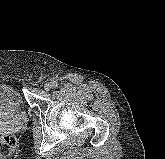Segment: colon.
<instances>
[{"label":"colon","instance_id":"colon-1","mask_svg":"<svg viewBox=\"0 0 165 159\" xmlns=\"http://www.w3.org/2000/svg\"><path fill=\"white\" fill-rule=\"evenodd\" d=\"M17 146V140L12 134H4L0 136V157L5 158L11 156Z\"/></svg>","mask_w":165,"mask_h":159}]
</instances>
